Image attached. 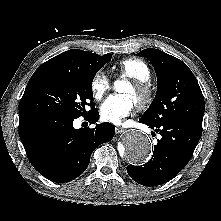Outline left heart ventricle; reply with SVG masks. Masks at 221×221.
Masks as SVG:
<instances>
[{
  "label": "left heart ventricle",
  "instance_id": "left-heart-ventricle-1",
  "mask_svg": "<svg viewBox=\"0 0 221 221\" xmlns=\"http://www.w3.org/2000/svg\"><path fill=\"white\" fill-rule=\"evenodd\" d=\"M120 92L122 94L128 95L133 100V102H136V100H137V98L139 96L138 92L132 87L131 84H125L120 89Z\"/></svg>",
  "mask_w": 221,
  "mask_h": 221
}]
</instances>
